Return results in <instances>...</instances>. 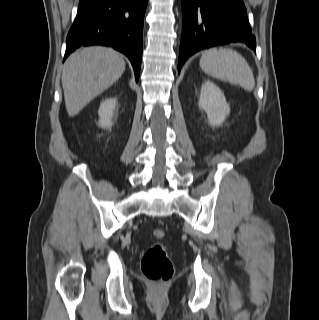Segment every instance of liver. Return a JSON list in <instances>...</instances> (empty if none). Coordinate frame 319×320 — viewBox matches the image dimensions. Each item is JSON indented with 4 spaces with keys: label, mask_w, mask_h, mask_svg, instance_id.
Masks as SVG:
<instances>
[{
    "label": "liver",
    "mask_w": 319,
    "mask_h": 320,
    "mask_svg": "<svg viewBox=\"0 0 319 320\" xmlns=\"http://www.w3.org/2000/svg\"><path fill=\"white\" fill-rule=\"evenodd\" d=\"M125 66L122 56L108 47H86L72 53L62 73L68 115H77L91 100L115 83Z\"/></svg>",
    "instance_id": "6515ba94"
}]
</instances>
